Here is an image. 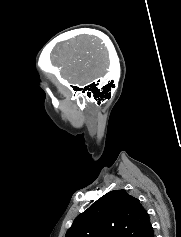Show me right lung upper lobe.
<instances>
[{
  "instance_id": "obj_1",
  "label": "right lung upper lobe",
  "mask_w": 181,
  "mask_h": 237,
  "mask_svg": "<svg viewBox=\"0 0 181 237\" xmlns=\"http://www.w3.org/2000/svg\"><path fill=\"white\" fill-rule=\"evenodd\" d=\"M149 215L126 190H113L79 214L65 237H152Z\"/></svg>"
}]
</instances>
